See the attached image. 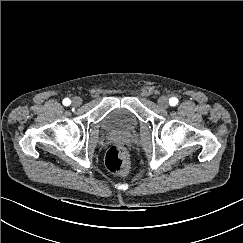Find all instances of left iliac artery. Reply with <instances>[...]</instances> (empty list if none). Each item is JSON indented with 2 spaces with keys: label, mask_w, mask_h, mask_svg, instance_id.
I'll list each match as a JSON object with an SVG mask.
<instances>
[{
  "label": "left iliac artery",
  "mask_w": 243,
  "mask_h": 243,
  "mask_svg": "<svg viewBox=\"0 0 243 243\" xmlns=\"http://www.w3.org/2000/svg\"><path fill=\"white\" fill-rule=\"evenodd\" d=\"M169 103H170L171 106H176L178 104V99L175 98V97H171L169 99Z\"/></svg>",
  "instance_id": "left-iliac-artery-1"
}]
</instances>
